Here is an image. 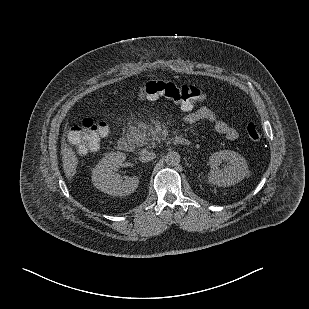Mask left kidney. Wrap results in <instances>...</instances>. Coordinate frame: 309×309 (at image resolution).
<instances>
[{
  "label": "left kidney",
  "instance_id": "left-kidney-1",
  "mask_svg": "<svg viewBox=\"0 0 309 309\" xmlns=\"http://www.w3.org/2000/svg\"><path fill=\"white\" fill-rule=\"evenodd\" d=\"M226 163L224 168L218 166ZM211 171L208 173V180L211 184L226 187L242 181L248 174L246 159L238 152L222 150L215 152L210 158Z\"/></svg>",
  "mask_w": 309,
  "mask_h": 309
}]
</instances>
